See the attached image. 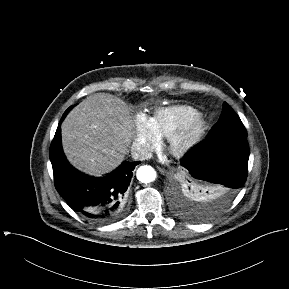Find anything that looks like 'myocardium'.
<instances>
[{
    "instance_id": "myocardium-1",
    "label": "myocardium",
    "mask_w": 289,
    "mask_h": 289,
    "mask_svg": "<svg viewBox=\"0 0 289 289\" xmlns=\"http://www.w3.org/2000/svg\"><path fill=\"white\" fill-rule=\"evenodd\" d=\"M206 129L204 120L199 116L169 139L168 149L176 157H183L202 139Z\"/></svg>"
}]
</instances>
